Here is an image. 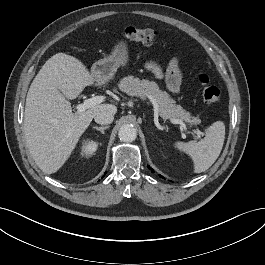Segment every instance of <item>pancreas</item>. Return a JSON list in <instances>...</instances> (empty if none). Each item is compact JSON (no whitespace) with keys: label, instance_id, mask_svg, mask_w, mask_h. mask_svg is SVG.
<instances>
[{"label":"pancreas","instance_id":"obj_1","mask_svg":"<svg viewBox=\"0 0 265 265\" xmlns=\"http://www.w3.org/2000/svg\"><path fill=\"white\" fill-rule=\"evenodd\" d=\"M119 88L130 96H138L140 98H150L157 106L160 115L164 118L192 121L193 124H199L200 119L192 117L181 106L174 104L175 101L169 97L166 92L159 90L158 85L153 81L140 80L133 76L124 77ZM192 118V119H191Z\"/></svg>","mask_w":265,"mask_h":265}]
</instances>
